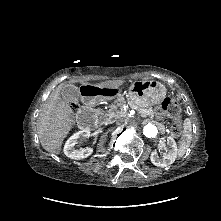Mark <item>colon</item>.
<instances>
[{
  "label": "colon",
  "instance_id": "colon-1",
  "mask_svg": "<svg viewBox=\"0 0 221 221\" xmlns=\"http://www.w3.org/2000/svg\"><path fill=\"white\" fill-rule=\"evenodd\" d=\"M76 109V106H74ZM157 114L161 117L168 116L173 119L171 123V133L178 136L182 132L181 108L178 102L173 98L164 99L157 107Z\"/></svg>",
  "mask_w": 221,
  "mask_h": 221
}]
</instances>
